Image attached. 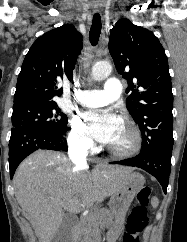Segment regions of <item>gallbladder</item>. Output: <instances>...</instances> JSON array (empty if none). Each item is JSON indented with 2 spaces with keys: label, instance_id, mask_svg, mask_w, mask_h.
<instances>
[{
  "label": "gallbladder",
  "instance_id": "1",
  "mask_svg": "<svg viewBox=\"0 0 187 242\" xmlns=\"http://www.w3.org/2000/svg\"><path fill=\"white\" fill-rule=\"evenodd\" d=\"M74 220L73 214L66 213L52 242H71V227L74 224Z\"/></svg>",
  "mask_w": 187,
  "mask_h": 242
}]
</instances>
